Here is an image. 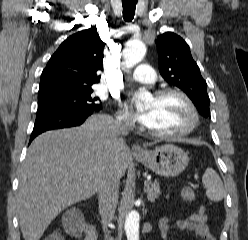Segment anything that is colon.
Masks as SVG:
<instances>
[{
	"instance_id": "5ec220e1",
	"label": "colon",
	"mask_w": 248,
	"mask_h": 240,
	"mask_svg": "<svg viewBox=\"0 0 248 240\" xmlns=\"http://www.w3.org/2000/svg\"><path fill=\"white\" fill-rule=\"evenodd\" d=\"M182 198L187 202H192L195 199L194 190L186 186L182 189ZM44 240H64L62 233L59 230H54L50 232Z\"/></svg>"
}]
</instances>
